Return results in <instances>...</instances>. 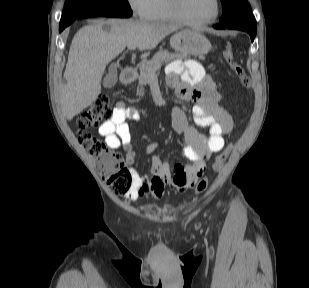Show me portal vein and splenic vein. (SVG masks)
<instances>
[{
    "mask_svg": "<svg viewBox=\"0 0 309 288\" xmlns=\"http://www.w3.org/2000/svg\"><path fill=\"white\" fill-rule=\"evenodd\" d=\"M128 49H130V50H134V49H135V47H132V46H131V47H128ZM160 67H161V66H158V67H157V69H159ZM155 73H156V71H155V70H154V71H152V75H153V74H155Z\"/></svg>",
    "mask_w": 309,
    "mask_h": 288,
    "instance_id": "portal-vein-and-splenic-vein-1",
    "label": "portal vein and splenic vein"
}]
</instances>
